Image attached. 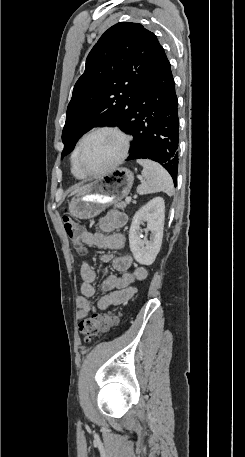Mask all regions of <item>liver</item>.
I'll list each match as a JSON object with an SVG mask.
<instances>
[{
    "instance_id": "obj_1",
    "label": "liver",
    "mask_w": 245,
    "mask_h": 457,
    "mask_svg": "<svg viewBox=\"0 0 245 457\" xmlns=\"http://www.w3.org/2000/svg\"><path fill=\"white\" fill-rule=\"evenodd\" d=\"M85 186H87V184H83V186H78V188H75V190H73V192H71V194H74V192H81V190H83V188H85Z\"/></svg>"
}]
</instances>
